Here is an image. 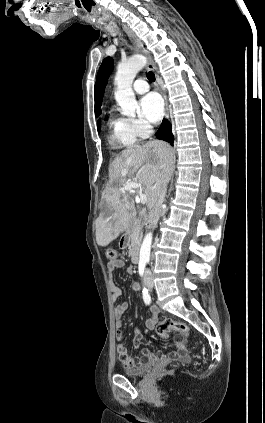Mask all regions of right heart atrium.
Segmentation results:
<instances>
[{
	"label": "right heart atrium",
	"mask_w": 265,
	"mask_h": 423,
	"mask_svg": "<svg viewBox=\"0 0 265 423\" xmlns=\"http://www.w3.org/2000/svg\"><path fill=\"white\" fill-rule=\"evenodd\" d=\"M133 136L136 139H143L150 135L152 126L140 118L128 119Z\"/></svg>",
	"instance_id": "obj_1"
}]
</instances>
